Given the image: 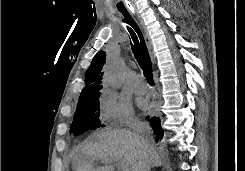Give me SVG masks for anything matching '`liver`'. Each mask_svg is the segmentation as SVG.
<instances>
[{
    "instance_id": "obj_1",
    "label": "liver",
    "mask_w": 245,
    "mask_h": 171,
    "mask_svg": "<svg viewBox=\"0 0 245 171\" xmlns=\"http://www.w3.org/2000/svg\"><path fill=\"white\" fill-rule=\"evenodd\" d=\"M99 159L123 160L131 171H141L145 162L154 167L162 164L155 148L151 144L146 148L140 135L117 129L99 132L95 142L83 146L79 158H76V171H114L111 165L95 168L93 162Z\"/></svg>"
}]
</instances>
